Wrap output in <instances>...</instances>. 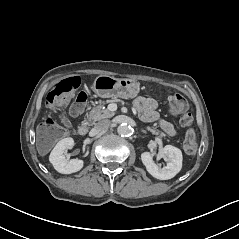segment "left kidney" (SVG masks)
I'll use <instances>...</instances> for the list:
<instances>
[{"mask_svg":"<svg viewBox=\"0 0 239 239\" xmlns=\"http://www.w3.org/2000/svg\"><path fill=\"white\" fill-rule=\"evenodd\" d=\"M162 155L167 159L168 163L166 167L159 169L153 161L154 154L150 151H144L141 153V161L145 166L147 172L154 178L159 180H169L173 178L181 169L182 166V154L181 151L173 146H165L162 151Z\"/></svg>","mask_w":239,"mask_h":239,"instance_id":"5707ae66","label":"left kidney"}]
</instances>
